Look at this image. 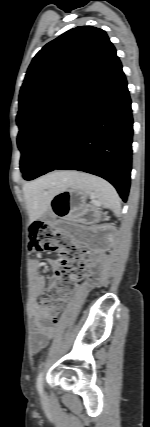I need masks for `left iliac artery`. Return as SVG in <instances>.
I'll list each match as a JSON object with an SVG mask.
<instances>
[{
	"label": "left iliac artery",
	"mask_w": 150,
	"mask_h": 427,
	"mask_svg": "<svg viewBox=\"0 0 150 427\" xmlns=\"http://www.w3.org/2000/svg\"><path fill=\"white\" fill-rule=\"evenodd\" d=\"M37 389L40 394L43 392V372L41 371L37 377L36 381Z\"/></svg>",
	"instance_id": "1"
}]
</instances>
